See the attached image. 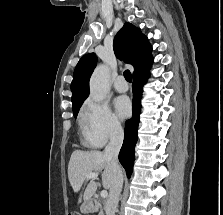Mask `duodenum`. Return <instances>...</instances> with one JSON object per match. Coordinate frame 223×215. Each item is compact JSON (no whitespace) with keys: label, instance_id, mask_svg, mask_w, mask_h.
Returning <instances> with one entry per match:
<instances>
[{"label":"duodenum","instance_id":"obj_1","mask_svg":"<svg viewBox=\"0 0 223 215\" xmlns=\"http://www.w3.org/2000/svg\"><path fill=\"white\" fill-rule=\"evenodd\" d=\"M83 209L86 212H93L95 210L94 200L91 198H86Z\"/></svg>","mask_w":223,"mask_h":215}]
</instances>
